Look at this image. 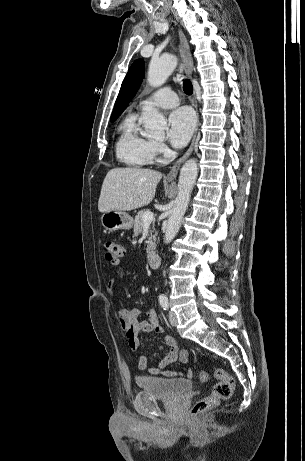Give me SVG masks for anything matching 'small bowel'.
Listing matches in <instances>:
<instances>
[{"label":"small bowel","mask_w":305,"mask_h":461,"mask_svg":"<svg viewBox=\"0 0 305 461\" xmlns=\"http://www.w3.org/2000/svg\"><path fill=\"white\" fill-rule=\"evenodd\" d=\"M109 291L118 302L121 301L117 291H116V281L113 279L109 283ZM116 317L119 321L121 329L124 331L127 343L129 348L132 351H135L139 347V335L140 334H158L163 337V342L169 347L168 354L163 357L157 365L148 369V358L145 355H142L138 361V368L141 371L148 369L149 373L152 375H162L165 377L173 376H184L190 377L192 371L190 369H185L183 371H171L165 370V368L173 363L177 357L184 364L189 362V351L187 349L179 350L177 341L174 337L165 335L162 326L159 323L158 316L154 309L150 308L146 316L142 317V311L140 308L135 306H123L120 305L116 309ZM162 349V347H160Z\"/></svg>","instance_id":"1"}]
</instances>
